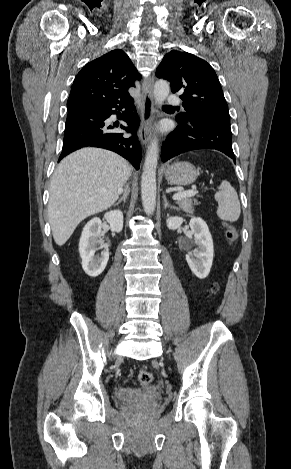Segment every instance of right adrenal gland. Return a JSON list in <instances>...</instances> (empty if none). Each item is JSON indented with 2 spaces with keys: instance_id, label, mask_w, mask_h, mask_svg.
Wrapping results in <instances>:
<instances>
[{
  "instance_id": "2a0ac1e0",
  "label": "right adrenal gland",
  "mask_w": 291,
  "mask_h": 469,
  "mask_svg": "<svg viewBox=\"0 0 291 469\" xmlns=\"http://www.w3.org/2000/svg\"><path fill=\"white\" fill-rule=\"evenodd\" d=\"M128 195H129V187L126 186V188H125V190H124V193H123V196L118 199V201H117V203H116L115 205H118V204L121 203L122 201H123V202H126V199H127Z\"/></svg>"
}]
</instances>
